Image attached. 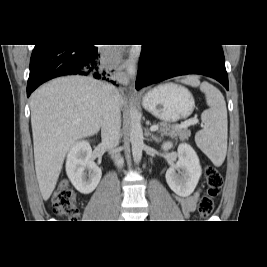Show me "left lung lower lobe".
Masks as SVG:
<instances>
[{
	"instance_id": "1",
	"label": "left lung lower lobe",
	"mask_w": 267,
	"mask_h": 267,
	"mask_svg": "<svg viewBox=\"0 0 267 267\" xmlns=\"http://www.w3.org/2000/svg\"><path fill=\"white\" fill-rule=\"evenodd\" d=\"M187 74H201L219 81L228 90V76L221 45H143L136 89Z\"/></svg>"
}]
</instances>
